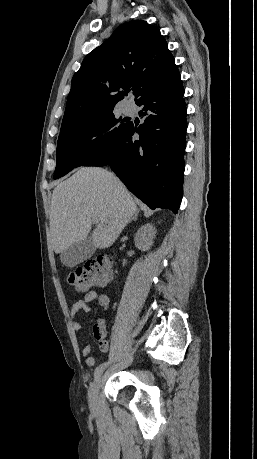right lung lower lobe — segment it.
Masks as SVG:
<instances>
[{"label":"right lung lower lobe","mask_w":257,"mask_h":459,"mask_svg":"<svg viewBox=\"0 0 257 459\" xmlns=\"http://www.w3.org/2000/svg\"><path fill=\"white\" fill-rule=\"evenodd\" d=\"M180 74L142 97L136 104L144 123L129 122L115 143L82 166L110 165L126 187L151 209L175 214L182 198L186 105ZM135 133L139 134L136 139Z\"/></svg>","instance_id":"right-lung-lower-lobe-1"}]
</instances>
